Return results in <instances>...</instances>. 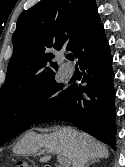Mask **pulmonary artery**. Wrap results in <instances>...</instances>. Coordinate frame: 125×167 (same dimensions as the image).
Listing matches in <instances>:
<instances>
[{
  "instance_id": "pulmonary-artery-1",
  "label": "pulmonary artery",
  "mask_w": 125,
  "mask_h": 167,
  "mask_svg": "<svg viewBox=\"0 0 125 167\" xmlns=\"http://www.w3.org/2000/svg\"><path fill=\"white\" fill-rule=\"evenodd\" d=\"M62 73L65 78H71L72 75L74 74L73 69H67L64 66L62 67Z\"/></svg>"
}]
</instances>
